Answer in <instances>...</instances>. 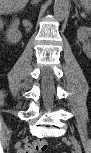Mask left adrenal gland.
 <instances>
[{"instance_id": "left-adrenal-gland-1", "label": "left adrenal gland", "mask_w": 91, "mask_h": 153, "mask_svg": "<svg viewBox=\"0 0 91 153\" xmlns=\"http://www.w3.org/2000/svg\"><path fill=\"white\" fill-rule=\"evenodd\" d=\"M74 17H77V18L79 17V16H78V11H77V9H75V15H74Z\"/></svg>"}]
</instances>
